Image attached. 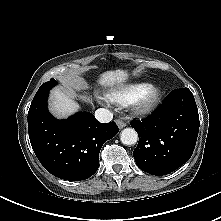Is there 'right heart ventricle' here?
<instances>
[{
  "instance_id": "obj_1",
  "label": "right heart ventricle",
  "mask_w": 221,
  "mask_h": 221,
  "mask_svg": "<svg viewBox=\"0 0 221 221\" xmlns=\"http://www.w3.org/2000/svg\"><path fill=\"white\" fill-rule=\"evenodd\" d=\"M146 87H148V85L145 83L121 85L110 89L105 94V97L107 100L114 104L129 106L135 101V99L143 92Z\"/></svg>"
}]
</instances>
